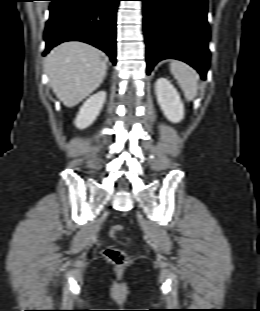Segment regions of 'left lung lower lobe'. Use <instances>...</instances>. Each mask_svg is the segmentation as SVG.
I'll return each instance as SVG.
<instances>
[{
  "label": "left lung lower lobe",
  "instance_id": "obj_1",
  "mask_svg": "<svg viewBox=\"0 0 260 311\" xmlns=\"http://www.w3.org/2000/svg\"><path fill=\"white\" fill-rule=\"evenodd\" d=\"M147 74L167 58L184 61L204 79L209 66L208 0H141Z\"/></svg>",
  "mask_w": 260,
  "mask_h": 311
}]
</instances>
